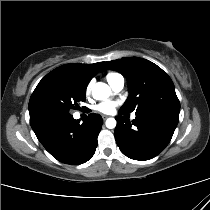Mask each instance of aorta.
<instances>
[{
	"label": "aorta",
	"mask_w": 210,
	"mask_h": 210,
	"mask_svg": "<svg viewBox=\"0 0 210 210\" xmlns=\"http://www.w3.org/2000/svg\"><path fill=\"white\" fill-rule=\"evenodd\" d=\"M110 93V87L102 82H98L92 90V96L96 100H105L110 96ZM105 124L107 128L113 129L116 127L117 123L114 118H108Z\"/></svg>",
	"instance_id": "762f6f07"
}]
</instances>
